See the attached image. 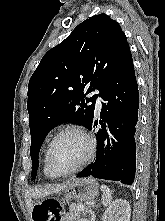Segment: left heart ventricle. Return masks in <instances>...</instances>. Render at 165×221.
I'll return each mask as SVG.
<instances>
[{
  "label": "left heart ventricle",
  "mask_w": 165,
  "mask_h": 221,
  "mask_svg": "<svg viewBox=\"0 0 165 221\" xmlns=\"http://www.w3.org/2000/svg\"><path fill=\"white\" fill-rule=\"evenodd\" d=\"M86 150V141L80 134L66 133L53 143L50 151L51 163L57 170H68L81 161Z\"/></svg>",
  "instance_id": "b2bd125f"
}]
</instances>
